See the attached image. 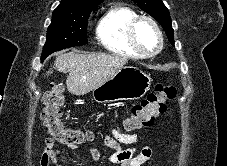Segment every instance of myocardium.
Instances as JSON below:
<instances>
[{
  "instance_id": "f54148a6",
  "label": "myocardium",
  "mask_w": 227,
  "mask_h": 166,
  "mask_svg": "<svg viewBox=\"0 0 227 166\" xmlns=\"http://www.w3.org/2000/svg\"><path fill=\"white\" fill-rule=\"evenodd\" d=\"M148 22L154 29L158 37V46L154 51L145 52L137 42L136 39V28L140 22ZM127 39L130 46L141 56V57H151L158 54L164 44L163 33L158 25V23L150 16L139 15L134 17L127 26Z\"/></svg>"
}]
</instances>
